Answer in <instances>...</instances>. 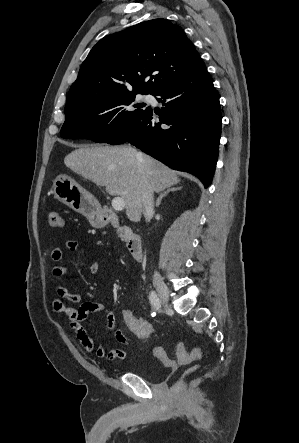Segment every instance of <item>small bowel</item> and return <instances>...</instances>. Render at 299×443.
Listing matches in <instances>:
<instances>
[{
  "mask_svg": "<svg viewBox=\"0 0 299 443\" xmlns=\"http://www.w3.org/2000/svg\"><path fill=\"white\" fill-rule=\"evenodd\" d=\"M65 250L69 252H83L77 241L69 240L66 241L62 247L54 248L51 251V259L56 262L60 261ZM98 270L99 264L97 262H92L89 265V271L92 274L97 273ZM68 271L69 269L65 265H55L52 269V274L56 278H61L65 276ZM55 293L56 298L52 302L53 310L57 313L66 314L70 328L75 331L77 339L85 351L93 352L97 357L106 358L111 362L123 360L127 357V353L123 349L107 351L103 346L96 345L83 327V322L89 314L99 312L104 313L108 332L113 335L117 342L127 345L128 339L123 334L122 330L118 328L115 314L109 308L93 301L81 303V294L70 292L60 283L55 285ZM79 303H81L79 307L73 306Z\"/></svg>",
  "mask_w": 299,
  "mask_h": 443,
  "instance_id": "small-bowel-1",
  "label": "small bowel"
}]
</instances>
